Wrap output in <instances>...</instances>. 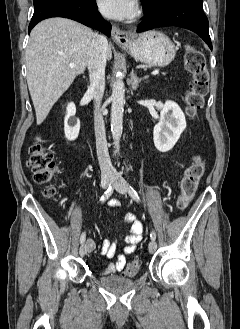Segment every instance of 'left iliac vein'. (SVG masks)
I'll return each instance as SVG.
<instances>
[{
  "mask_svg": "<svg viewBox=\"0 0 240 329\" xmlns=\"http://www.w3.org/2000/svg\"><path fill=\"white\" fill-rule=\"evenodd\" d=\"M112 183L117 192H119L120 194H126L128 186L119 173H115V175L113 176ZM148 249L150 253H153L157 249V244L155 240H151L149 242Z\"/></svg>",
  "mask_w": 240,
  "mask_h": 329,
  "instance_id": "1",
  "label": "left iliac vein"
}]
</instances>
